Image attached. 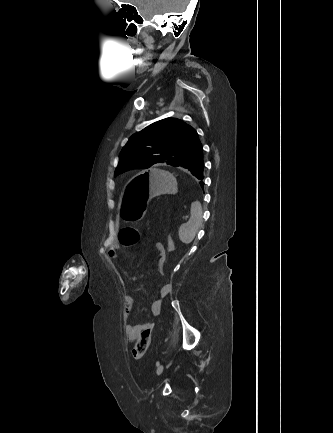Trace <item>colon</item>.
<instances>
[{"instance_id":"obj_1","label":"colon","mask_w":333,"mask_h":433,"mask_svg":"<svg viewBox=\"0 0 333 433\" xmlns=\"http://www.w3.org/2000/svg\"><path fill=\"white\" fill-rule=\"evenodd\" d=\"M118 238L121 246L131 247L135 246L139 242L140 234L134 227L126 226L120 230ZM168 249L169 252H172V249H174V244L171 238L170 244H168ZM150 324L151 325L149 328L145 329L141 333L132 349V357L135 360H140L146 353L151 342L152 330H155V327L159 324V321L156 318H153L150 321Z\"/></svg>"}]
</instances>
